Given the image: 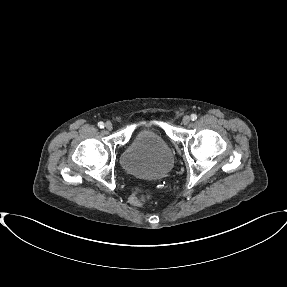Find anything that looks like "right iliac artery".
I'll return each instance as SVG.
<instances>
[{"label": "right iliac artery", "mask_w": 287, "mask_h": 287, "mask_svg": "<svg viewBox=\"0 0 287 287\" xmlns=\"http://www.w3.org/2000/svg\"><path fill=\"white\" fill-rule=\"evenodd\" d=\"M98 126H99L100 128H104V123H103V122H99V123H98Z\"/></svg>", "instance_id": "82829eb1"}]
</instances>
